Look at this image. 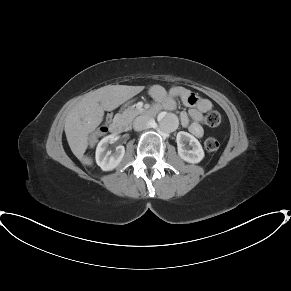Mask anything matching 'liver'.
<instances>
[{
    "instance_id": "liver-1",
    "label": "liver",
    "mask_w": 291,
    "mask_h": 291,
    "mask_svg": "<svg viewBox=\"0 0 291 291\" xmlns=\"http://www.w3.org/2000/svg\"><path fill=\"white\" fill-rule=\"evenodd\" d=\"M142 90V86L107 85L86 94L69 111L64 130L71 151L82 164H93L84 153L88 147V134L102 122L104 110L117 108Z\"/></svg>"
}]
</instances>
